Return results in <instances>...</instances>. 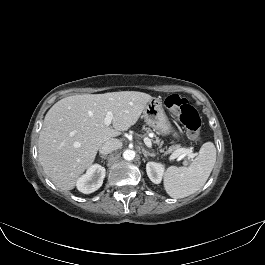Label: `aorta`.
Returning <instances> with one entry per match:
<instances>
[{"mask_svg":"<svg viewBox=\"0 0 265 265\" xmlns=\"http://www.w3.org/2000/svg\"><path fill=\"white\" fill-rule=\"evenodd\" d=\"M135 151L131 149H127L123 152V158L127 161L133 160L135 158Z\"/></svg>","mask_w":265,"mask_h":265,"instance_id":"obj_1","label":"aorta"}]
</instances>
